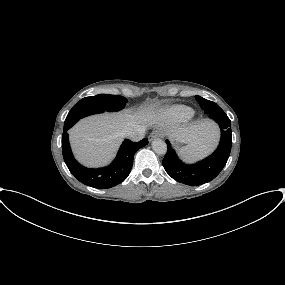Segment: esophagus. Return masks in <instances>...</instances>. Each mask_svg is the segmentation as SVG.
Masks as SVG:
<instances>
[{
    "label": "esophagus",
    "mask_w": 285,
    "mask_h": 285,
    "mask_svg": "<svg viewBox=\"0 0 285 285\" xmlns=\"http://www.w3.org/2000/svg\"><path fill=\"white\" fill-rule=\"evenodd\" d=\"M161 136H162L161 133L155 131V132H152V133L149 135L148 140H149V142H151L153 139H155V138H157V137H161Z\"/></svg>",
    "instance_id": "34e87169"
}]
</instances>
